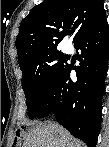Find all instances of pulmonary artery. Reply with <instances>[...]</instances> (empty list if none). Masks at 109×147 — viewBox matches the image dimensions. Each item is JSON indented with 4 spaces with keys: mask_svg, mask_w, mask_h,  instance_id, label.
Listing matches in <instances>:
<instances>
[{
    "mask_svg": "<svg viewBox=\"0 0 109 147\" xmlns=\"http://www.w3.org/2000/svg\"><path fill=\"white\" fill-rule=\"evenodd\" d=\"M66 52H70V49H69V47H66Z\"/></svg>",
    "mask_w": 109,
    "mask_h": 147,
    "instance_id": "obj_1",
    "label": "pulmonary artery"
}]
</instances>
